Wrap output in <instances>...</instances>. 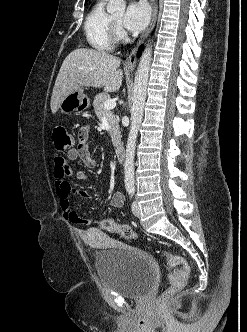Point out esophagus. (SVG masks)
<instances>
[{"instance_id":"obj_1","label":"esophagus","mask_w":247,"mask_h":332,"mask_svg":"<svg viewBox=\"0 0 247 332\" xmlns=\"http://www.w3.org/2000/svg\"><path fill=\"white\" fill-rule=\"evenodd\" d=\"M150 4H151V7H152V15H151L150 23H149L146 31L140 37L137 45L135 46V48L132 50L129 57L125 61L126 66L134 67L136 65L138 47L147 38V36L151 33V31L154 28L156 18H157V4H156L155 0H150Z\"/></svg>"}]
</instances>
